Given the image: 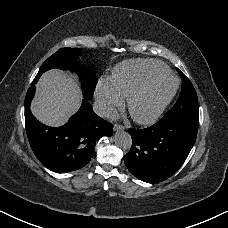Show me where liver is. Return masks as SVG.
I'll list each match as a JSON object with an SVG mask.
<instances>
[{"mask_svg":"<svg viewBox=\"0 0 228 228\" xmlns=\"http://www.w3.org/2000/svg\"><path fill=\"white\" fill-rule=\"evenodd\" d=\"M80 104L81 92L77 83L65 72L55 69L41 77L32 113L47 125L59 126L78 110Z\"/></svg>","mask_w":228,"mask_h":228,"instance_id":"liver-1","label":"liver"}]
</instances>
